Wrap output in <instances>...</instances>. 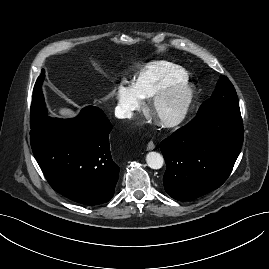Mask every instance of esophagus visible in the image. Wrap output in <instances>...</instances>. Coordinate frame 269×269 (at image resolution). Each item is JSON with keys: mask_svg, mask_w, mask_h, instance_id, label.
Listing matches in <instances>:
<instances>
[{"mask_svg": "<svg viewBox=\"0 0 269 269\" xmlns=\"http://www.w3.org/2000/svg\"><path fill=\"white\" fill-rule=\"evenodd\" d=\"M155 148V144L153 142H149L147 144V150H153Z\"/></svg>", "mask_w": 269, "mask_h": 269, "instance_id": "obj_1", "label": "esophagus"}]
</instances>
